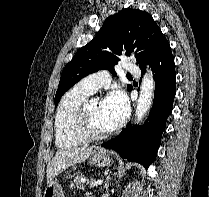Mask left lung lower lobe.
I'll list each match as a JSON object with an SVG mask.
<instances>
[{
  "instance_id": "1",
  "label": "left lung lower lobe",
  "mask_w": 209,
  "mask_h": 197,
  "mask_svg": "<svg viewBox=\"0 0 209 197\" xmlns=\"http://www.w3.org/2000/svg\"><path fill=\"white\" fill-rule=\"evenodd\" d=\"M146 64L152 67L156 82L154 104L147 121L142 127H130L129 123L119 136L103 143L102 147L113 149L121 157L138 162L148 169L156 158L176 94L174 58L167 40L158 47L148 62L140 66L142 73L145 72Z\"/></svg>"
}]
</instances>
